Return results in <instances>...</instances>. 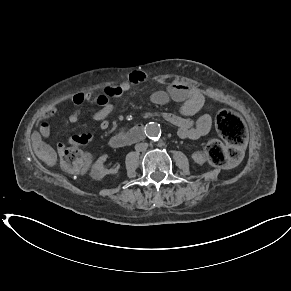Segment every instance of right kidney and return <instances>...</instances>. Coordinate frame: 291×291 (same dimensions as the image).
I'll return each instance as SVG.
<instances>
[{"label": "right kidney", "mask_w": 291, "mask_h": 291, "mask_svg": "<svg viewBox=\"0 0 291 291\" xmlns=\"http://www.w3.org/2000/svg\"><path fill=\"white\" fill-rule=\"evenodd\" d=\"M106 160V156H101L96 163L93 165L91 169V175L94 179H102L107 174H115L117 173V169L108 170L103 167V162Z\"/></svg>", "instance_id": "ca27d5eb"}]
</instances>
